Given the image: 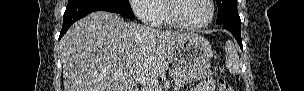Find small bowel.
I'll use <instances>...</instances> for the list:
<instances>
[{
	"label": "small bowel",
	"instance_id": "1",
	"mask_svg": "<svg viewBox=\"0 0 304 91\" xmlns=\"http://www.w3.org/2000/svg\"><path fill=\"white\" fill-rule=\"evenodd\" d=\"M213 82L211 80H205L192 87L190 91H213Z\"/></svg>",
	"mask_w": 304,
	"mask_h": 91
}]
</instances>
